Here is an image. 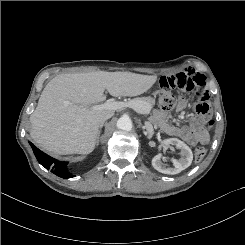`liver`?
Segmentation results:
<instances>
[{
	"label": "liver",
	"mask_w": 245,
	"mask_h": 245,
	"mask_svg": "<svg viewBox=\"0 0 245 245\" xmlns=\"http://www.w3.org/2000/svg\"><path fill=\"white\" fill-rule=\"evenodd\" d=\"M157 75L132 72L60 74L44 88L30 116L33 140L56 154H89L96 144L102 118L114 110L93 109V104L113 97H133L149 90Z\"/></svg>",
	"instance_id": "obj_1"
}]
</instances>
